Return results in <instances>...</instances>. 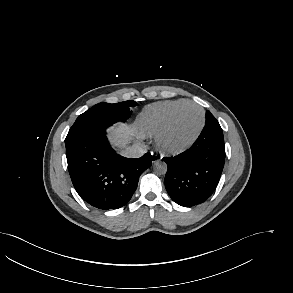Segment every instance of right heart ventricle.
I'll return each instance as SVG.
<instances>
[{
  "label": "right heart ventricle",
  "instance_id": "right-heart-ventricle-1",
  "mask_svg": "<svg viewBox=\"0 0 293 293\" xmlns=\"http://www.w3.org/2000/svg\"><path fill=\"white\" fill-rule=\"evenodd\" d=\"M188 100H166L153 103L143 109L138 118L139 130L142 136H154L163 126L171 111Z\"/></svg>",
  "mask_w": 293,
  "mask_h": 293
}]
</instances>
